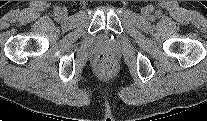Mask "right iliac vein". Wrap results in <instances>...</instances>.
I'll use <instances>...</instances> for the list:
<instances>
[{"mask_svg": "<svg viewBox=\"0 0 207 121\" xmlns=\"http://www.w3.org/2000/svg\"><path fill=\"white\" fill-rule=\"evenodd\" d=\"M66 14H67L66 10H64V9L63 10H60L61 17H65Z\"/></svg>", "mask_w": 207, "mask_h": 121, "instance_id": "right-iliac-vein-1", "label": "right iliac vein"}]
</instances>
